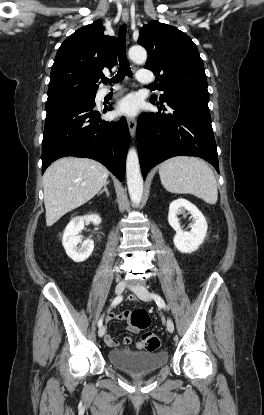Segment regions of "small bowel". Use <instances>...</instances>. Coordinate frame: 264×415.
<instances>
[{
  "instance_id": "1",
  "label": "small bowel",
  "mask_w": 264,
  "mask_h": 415,
  "mask_svg": "<svg viewBox=\"0 0 264 415\" xmlns=\"http://www.w3.org/2000/svg\"><path fill=\"white\" fill-rule=\"evenodd\" d=\"M129 317H130V314L128 312H119V313L110 312L107 314L106 319L108 322L113 321V320L128 321ZM126 329L132 333H138L140 330L139 328L131 324H128ZM104 335H105V342L109 347L116 348L121 345V343L117 341L116 339H114L110 334L105 333ZM131 343H132V339L130 336L123 337V340H122L123 345L128 346ZM134 348L136 350H142L143 349L142 342H136L134 345Z\"/></svg>"
}]
</instances>
